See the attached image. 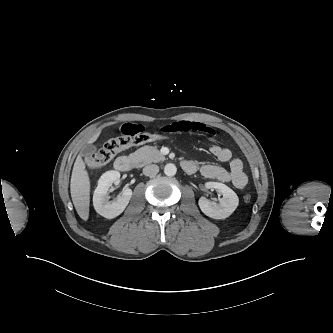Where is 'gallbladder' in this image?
Returning <instances> with one entry per match:
<instances>
[{
    "mask_svg": "<svg viewBox=\"0 0 333 333\" xmlns=\"http://www.w3.org/2000/svg\"><path fill=\"white\" fill-rule=\"evenodd\" d=\"M95 152H96V147H94L93 145H86L81 150L83 156H89L90 154H93Z\"/></svg>",
    "mask_w": 333,
    "mask_h": 333,
    "instance_id": "bac80fb5",
    "label": "gallbladder"
}]
</instances>
